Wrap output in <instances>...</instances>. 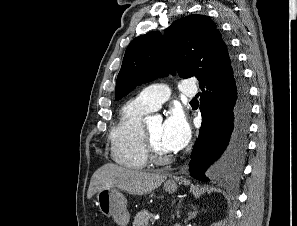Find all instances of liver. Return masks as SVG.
<instances>
[{
  "instance_id": "liver-1",
  "label": "liver",
  "mask_w": 297,
  "mask_h": 226,
  "mask_svg": "<svg viewBox=\"0 0 297 226\" xmlns=\"http://www.w3.org/2000/svg\"><path fill=\"white\" fill-rule=\"evenodd\" d=\"M166 175L146 173L107 163L95 171L90 180L87 198L105 188H119L132 195H144L158 188Z\"/></svg>"
}]
</instances>
